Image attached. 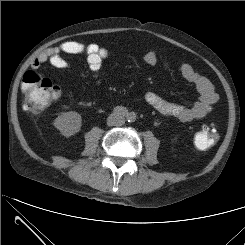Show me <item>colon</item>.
<instances>
[{"instance_id": "obj_1", "label": "colon", "mask_w": 245, "mask_h": 245, "mask_svg": "<svg viewBox=\"0 0 245 245\" xmlns=\"http://www.w3.org/2000/svg\"><path fill=\"white\" fill-rule=\"evenodd\" d=\"M24 106L28 111L41 112L60 96L57 84L35 71H27L22 79ZM218 139L215 126H203L195 135L194 142L198 149L212 147Z\"/></svg>"}]
</instances>
